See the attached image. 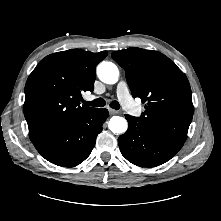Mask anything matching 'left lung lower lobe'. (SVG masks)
<instances>
[{"label":"left lung lower lobe","instance_id":"obj_1","mask_svg":"<svg viewBox=\"0 0 221 221\" xmlns=\"http://www.w3.org/2000/svg\"><path fill=\"white\" fill-rule=\"evenodd\" d=\"M128 129L118 138L122 155L141 167H154L170 160L184 143L159 135L146 127L139 118L126 115Z\"/></svg>","mask_w":221,"mask_h":221}]
</instances>
